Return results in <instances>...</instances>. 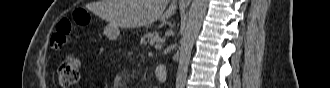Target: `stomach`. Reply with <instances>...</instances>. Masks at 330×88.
Here are the masks:
<instances>
[{
    "instance_id": "1",
    "label": "stomach",
    "mask_w": 330,
    "mask_h": 88,
    "mask_svg": "<svg viewBox=\"0 0 330 88\" xmlns=\"http://www.w3.org/2000/svg\"><path fill=\"white\" fill-rule=\"evenodd\" d=\"M116 30H117V26L116 25H108V27L106 28V34L109 38H113L116 35Z\"/></svg>"
}]
</instances>
